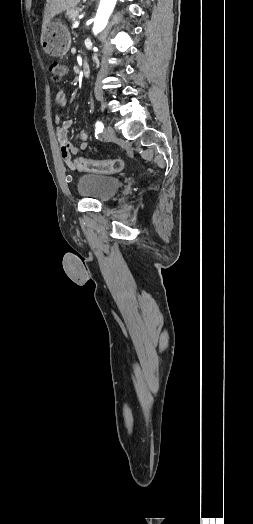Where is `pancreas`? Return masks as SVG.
Returning a JSON list of instances; mask_svg holds the SVG:
<instances>
[{
    "label": "pancreas",
    "instance_id": "pancreas-1",
    "mask_svg": "<svg viewBox=\"0 0 253 524\" xmlns=\"http://www.w3.org/2000/svg\"><path fill=\"white\" fill-rule=\"evenodd\" d=\"M80 10L79 8L70 9L66 12V17L73 22L78 17Z\"/></svg>",
    "mask_w": 253,
    "mask_h": 524
}]
</instances>
